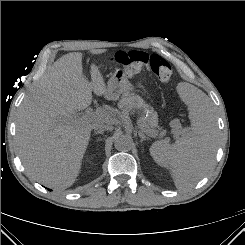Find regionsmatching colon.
Masks as SVG:
<instances>
[{
    "instance_id": "obj_1",
    "label": "colon",
    "mask_w": 245,
    "mask_h": 245,
    "mask_svg": "<svg viewBox=\"0 0 245 245\" xmlns=\"http://www.w3.org/2000/svg\"><path fill=\"white\" fill-rule=\"evenodd\" d=\"M113 60L122 65L129 75H135L145 67L161 82L169 83L173 80L170 63L159 55L136 50L119 51Z\"/></svg>"
}]
</instances>
